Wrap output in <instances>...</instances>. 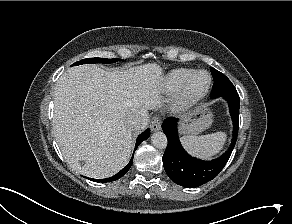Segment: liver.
Wrapping results in <instances>:
<instances>
[{"label": "liver", "mask_w": 292, "mask_h": 224, "mask_svg": "<svg viewBox=\"0 0 292 224\" xmlns=\"http://www.w3.org/2000/svg\"><path fill=\"white\" fill-rule=\"evenodd\" d=\"M163 79L156 63L112 71L81 65L64 72L54 89L53 131L67 163L92 178L119 172L133 144L127 121L138 118L137 131L147 127L148 110L161 105Z\"/></svg>", "instance_id": "obj_1"}]
</instances>
